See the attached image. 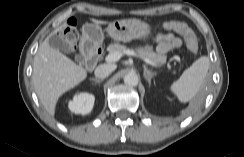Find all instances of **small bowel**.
<instances>
[{
	"instance_id": "1",
	"label": "small bowel",
	"mask_w": 244,
	"mask_h": 157,
	"mask_svg": "<svg viewBox=\"0 0 244 157\" xmlns=\"http://www.w3.org/2000/svg\"><path fill=\"white\" fill-rule=\"evenodd\" d=\"M156 51L159 54H165L169 50L178 48L181 46V39L173 34H159L155 38Z\"/></svg>"
}]
</instances>
